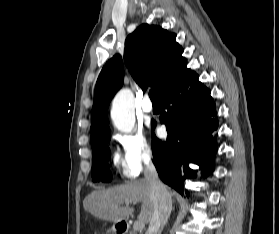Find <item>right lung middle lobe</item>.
<instances>
[{
  "instance_id": "1",
  "label": "right lung middle lobe",
  "mask_w": 279,
  "mask_h": 234,
  "mask_svg": "<svg viewBox=\"0 0 279 234\" xmlns=\"http://www.w3.org/2000/svg\"><path fill=\"white\" fill-rule=\"evenodd\" d=\"M111 135H107L94 144H92L93 150V163H92V179L93 181H111L112 177L108 172V159L110 157V149L108 143Z\"/></svg>"
}]
</instances>
